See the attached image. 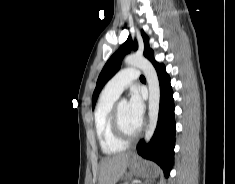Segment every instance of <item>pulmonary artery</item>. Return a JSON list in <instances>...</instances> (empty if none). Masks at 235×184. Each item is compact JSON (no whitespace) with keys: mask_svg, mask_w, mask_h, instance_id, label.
I'll use <instances>...</instances> for the list:
<instances>
[{"mask_svg":"<svg viewBox=\"0 0 235 184\" xmlns=\"http://www.w3.org/2000/svg\"><path fill=\"white\" fill-rule=\"evenodd\" d=\"M140 74V69L126 68L114 75L105 85L103 93L118 97Z\"/></svg>","mask_w":235,"mask_h":184,"instance_id":"e3ab8cb5","label":"pulmonary artery"}]
</instances>
